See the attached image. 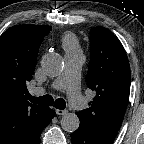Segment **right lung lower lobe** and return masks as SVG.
<instances>
[{"instance_id": "obj_1", "label": "right lung lower lobe", "mask_w": 144, "mask_h": 144, "mask_svg": "<svg viewBox=\"0 0 144 144\" xmlns=\"http://www.w3.org/2000/svg\"><path fill=\"white\" fill-rule=\"evenodd\" d=\"M55 115V111L48 108L44 119L38 124L30 136L26 139L23 144H40V135L42 130L50 123Z\"/></svg>"}]
</instances>
